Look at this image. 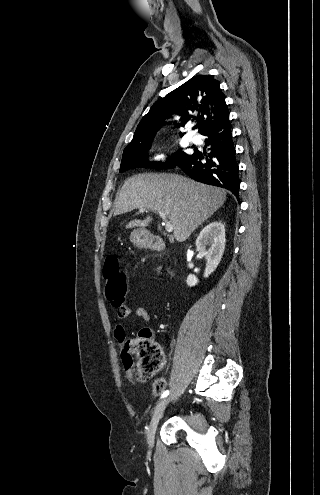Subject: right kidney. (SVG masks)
<instances>
[{
	"label": "right kidney",
	"instance_id": "obj_1",
	"mask_svg": "<svg viewBox=\"0 0 320 495\" xmlns=\"http://www.w3.org/2000/svg\"><path fill=\"white\" fill-rule=\"evenodd\" d=\"M207 246L209 248L207 249ZM196 248L207 260L204 277L207 278L221 261L225 249V227L221 222H212L205 226L196 239ZM192 287L198 283L195 275L189 274L186 280Z\"/></svg>",
	"mask_w": 320,
	"mask_h": 495
}]
</instances>
